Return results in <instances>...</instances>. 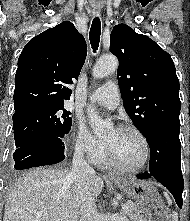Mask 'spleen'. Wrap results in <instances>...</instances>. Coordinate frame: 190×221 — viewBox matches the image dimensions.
Segmentation results:
<instances>
[{
	"mask_svg": "<svg viewBox=\"0 0 190 221\" xmlns=\"http://www.w3.org/2000/svg\"><path fill=\"white\" fill-rule=\"evenodd\" d=\"M164 195H165V197L167 199L168 204L171 205L172 204V200L170 199L169 195L166 192H164ZM172 221H178V216H177L176 212H173V214H172Z\"/></svg>",
	"mask_w": 190,
	"mask_h": 221,
	"instance_id": "obj_1",
	"label": "spleen"
}]
</instances>
